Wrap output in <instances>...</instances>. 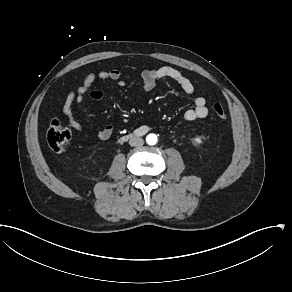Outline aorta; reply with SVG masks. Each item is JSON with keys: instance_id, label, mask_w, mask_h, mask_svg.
<instances>
[{"instance_id": "aorta-1", "label": "aorta", "mask_w": 292, "mask_h": 292, "mask_svg": "<svg viewBox=\"0 0 292 292\" xmlns=\"http://www.w3.org/2000/svg\"><path fill=\"white\" fill-rule=\"evenodd\" d=\"M146 141L149 145H154L157 142V136L155 134H149L146 137Z\"/></svg>"}]
</instances>
